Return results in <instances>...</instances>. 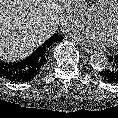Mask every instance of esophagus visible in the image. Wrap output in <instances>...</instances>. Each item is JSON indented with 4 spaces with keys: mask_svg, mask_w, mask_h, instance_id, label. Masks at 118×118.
Returning a JSON list of instances; mask_svg holds the SVG:
<instances>
[{
    "mask_svg": "<svg viewBox=\"0 0 118 118\" xmlns=\"http://www.w3.org/2000/svg\"><path fill=\"white\" fill-rule=\"evenodd\" d=\"M81 48H82L83 51H85L86 53H89V54L94 53V50H93V49H90V48H88V47L85 46V45H81Z\"/></svg>",
    "mask_w": 118,
    "mask_h": 118,
    "instance_id": "obj_1",
    "label": "esophagus"
}]
</instances>
